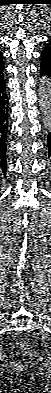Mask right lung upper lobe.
<instances>
[{"label":"right lung upper lobe","mask_w":51,"mask_h":393,"mask_svg":"<svg viewBox=\"0 0 51 393\" xmlns=\"http://www.w3.org/2000/svg\"><path fill=\"white\" fill-rule=\"evenodd\" d=\"M2 57H3V54L0 51V72L4 69V64H3V61H2Z\"/></svg>","instance_id":"1"}]
</instances>
